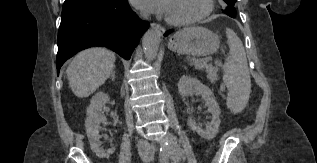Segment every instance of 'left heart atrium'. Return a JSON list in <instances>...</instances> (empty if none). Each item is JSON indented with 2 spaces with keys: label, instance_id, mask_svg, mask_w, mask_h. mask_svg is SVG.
I'll return each instance as SVG.
<instances>
[{
  "label": "left heart atrium",
  "instance_id": "39dd6f15",
  "mask_svg": "<svg viewBox=\"0 0 317 163\" xmlns=\"http://www.w3.org/2000/svg\"><path fill=\"white\" fill-rule=\"evenodd\" d=\"M132 2L139 9L159 15H167L171 4V0H132Z\"/></svg>",
  "mask_w": 317,
  "mask_h": 163
}]
</instances>
